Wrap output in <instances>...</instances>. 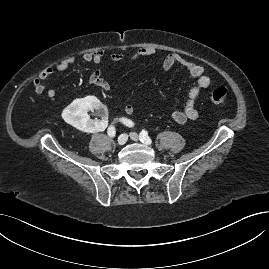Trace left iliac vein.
<instances>
[{
  "mask_svg": "<svg viewBox=\"0 0 269 269\" xmlns=\"http://www.w3.org/2000/svg\"><path fill=\"white\" fill-rule=\"evenodd\" d=\"M130 138L134 141H138L139 140V135L135 132H131L130 133Z\"/></svg>",
  "mask_w": 269,
  "mask_h": 269,
  "instance_id": "4c4485c4",
  "label": "left iliac vein"
}]
</instances>
